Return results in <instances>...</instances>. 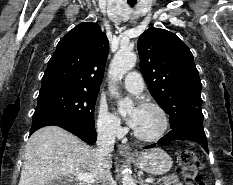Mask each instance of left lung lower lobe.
<instances>
[{
	"instance_id": "1",
	"label": "left lung lower lobe",
	"mask_w": 233,
	"mask_h": 185,
	"mask_svg": "<svg viewBox=\"0 0 233 185\" xmlns=\"http://www.w3.org/2000/svg\"><path fill=\"white\" fill-rule=\"evenodd\" d=\"M174 140H191L197 142L207 153H209L207 138L203 128V115L194 116L181 125L174 127L158 142V144H164ZM151 146L153 145L147 146L145 148Z\"/></svg>"
}]
</instances>
